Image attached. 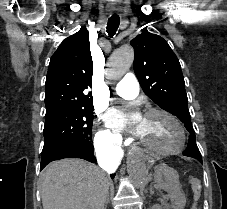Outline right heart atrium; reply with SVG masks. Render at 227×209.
Listing matches in <instances>:
<instances>
[{"label":"right heart atrium","mask_w":227,"mask_h":209,"mask_svg":"<svg viewBox=\"0 0 227 209\" xmlns=\"http://www.w3.org/2000/svg\"><path fill=\"white\" fill-rule=\"evenodd\" d=\"M125 140L111 128H100L95 134L94 145L98 153L102 155L116 156L122 153Z\"/></svg>","instance_id":"d8ad5b80"}]
</instances>
